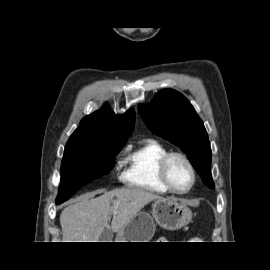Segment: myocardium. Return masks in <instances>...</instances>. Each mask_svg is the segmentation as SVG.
<instances>
[{
    "label": "myocardium",
    "instance_id": "1",
    "mask_svg": "<svg viewBox=\"0 0 270 270\" xmlns=\"http://www.w3.org/2000/svg\"><path fill=\"white\" fill-rule=\"evenodd\" d=\"M175 158L181 159L187 165L191 173V177H192L191 183L188 186V188H186L185 190L177 189L173 185L170 179L169 166H170L171 161ZM159 175L165 187L170 192L179 194V195L187 194L188 192H190L192 188L194 187L196 183V178H197L196 170L193 163L184 153H181V152H169L161 159L160 164H159Z\"/></svg>",
    "mask_w": 270,
    "mask_h": 270
}]
</instances>
